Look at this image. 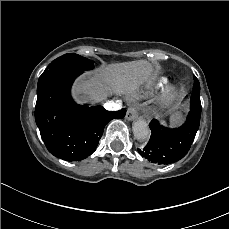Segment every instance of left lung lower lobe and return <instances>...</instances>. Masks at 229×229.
I'll use <instances>...</instances> for the list:
<instances>
[{
    "label": "left lung lower lobe",
    "mask_w": 229,
    "mask_h": 229,
    "mask_svg": "<svg viewBox=\"0 0 229 229\" xmlns=\"http://www.w3.org/2000/svg\"><path fill=\"white\" fill-rule=\"evenodd\" d=\"M201 117L200 84L194 76L193 91L190 99V112L186 122L176 129L161 126L157 120L149 124L151 137L143 150L142 157L157 164H170L184 157L199 129Z\"/></svg>",
    "instance_id": "obj_1"
}]
</instances>
